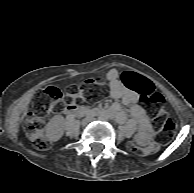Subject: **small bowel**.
Returning <instances> with one entry per match:
<instances>
[{
	"label": "small bowel",
	"mask_w": 194,
	"mask_h": 193,
	"mask_svg": "<svg viewBox=\"0 0 194 193\" xmlns=\"http://www.w3.org/2000/svg\"><path fill=\"white\" fill-rule=\"evenodd\" d=\"M106 80L109 84L110 95L121 101V103L115 102L111 107L116 119L119 122H124L128 112L138 124V141L147 144L151 138L152 128L145 109L137 104L138 92L124 84L117 70H110L106 74ZM122 105L128 107L127 112Z\"/></svg>",
	"instance_id": "1"
}]
</instances>
